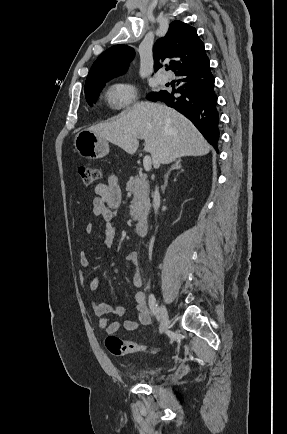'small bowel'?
Listing matches in <instances>:
<instances>
[{"instance_id":"c3829d8e","label":"small bowel","mask_w":287,"mask_h":434,"mask_svg":"<svg viewBox=\"0 0 287 434\" xmlns=\"http://www.w3.org/2000/svg\"><path fill=\"white\" fill-rule=\"evenodd\" d=\"M96 197L92 201V214L95 217H102L106 224L102 229V245L105 248H110L117 236V227L114 220L117 215V210L121 200V191L118 185V179L115 175L108 177L106 183H99L95 186ZM86 234L91 235L95 231L92 223L86 225ZM125 261L136 266L132 277V283L135 288L139 289L135 294L137 318L126 319L123 322V327L128 332L135 331L139 325H149L151 323V315L146 302V295L141 291L143 286V277L138 268L139 256L135 251L128 252L125 255ZM80 269L78 271V281L81 287L84 288L83 269L89 268L91 262L88 256L81 252L79 256ZM101 277L96 275L90 278L88 287L91 290H96L101 284ZM91 310L94 315L100 317L98 325L104 329L106 333L112 334L119 330L120 322L117 319L106 317L115 316L121 317L126 312V307L115 305L111 302L91 301Z\"/></svg>"}]
</instances>
